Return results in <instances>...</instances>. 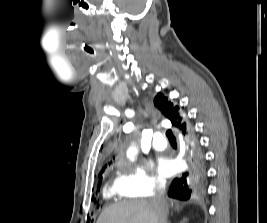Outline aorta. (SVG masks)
Returning a JSON list of instances; mask_svg holds the SVG:
<instances>
[{"label": "aorta", "instance_id": "762f6f07", "mask_svg": "<svg viewBox=\"0 0 267 223\" xmlns=\"http://www.w3.org/2000/svg\"><path fill=\"white\" fill-rule=\"evenodd\" d=\"M137 153V150L135 147H130L128 150H127V157L131 160H134L135 158V155Z\"/></svg>", "mask_w": 267, "mask_h": 223}]
</instances>
